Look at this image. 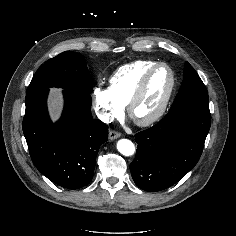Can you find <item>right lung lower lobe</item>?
I'll list each match as a JSON object with an SVG mask.
<instances>
[{"label":"right lung lower lobe","mask_w":236,"mask_h":236,"mask_svg":"<svg viewBox=\"0 0 236 236\" xmlns=\"http://www.w3.org/2000/svg\"><path fill=\"white\" fill-rule=\"evenodd\" d=\"M49 89L27 92L23 133L36 168L55 184L78 189L92 179L98 148L108 127L91 116V96L63 90L64 110L53 124L47 111Z\"/></svg>","instance_id":"1"}]
</instances>
